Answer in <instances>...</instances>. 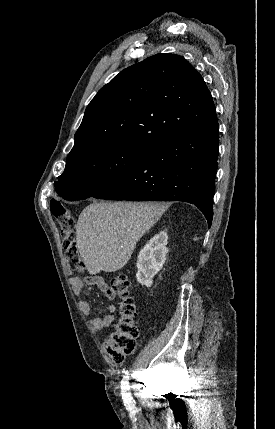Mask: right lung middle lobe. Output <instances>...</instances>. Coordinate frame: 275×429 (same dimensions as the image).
Wrapping results in <instances>:
<instances>
[{"label": "right lung middle lobe", "instance_id": "right-lung-middle-lobe-1", "mask_svg": "<svg viewBox=\"0 0 275 429\" xmlns=\"http://www.w3.org/2000/svg\"><path fill=\"white\" fill-rule=\"evenodd\" d=\"M149 148L116 144L68 162L55 182L57 193L75 201L92 197L138 167Z\"/></svg>", "mask_w": 275, "mask_h": 429}]
</instances>
